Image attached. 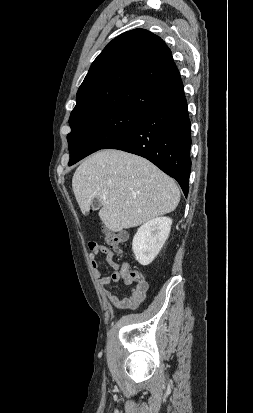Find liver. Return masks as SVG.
<instances>
[{"label": "liver", "mask_w": 253, "mask_h": 413, "mask_svg": "<svg viewBox=\"0 0 253 413\" xmlns=\"http://www.w3.org/2000/svg\"><path fill=\"white\" fill-rule=\"evenodd\" d=\"M72 188L83 214L99 199V217L112 232L170 213L180 201L172 178L145 158L121 150H101L85 159L73 175Z\"/></svg>", "instance_id": "6515ba94"}]
</instances>
